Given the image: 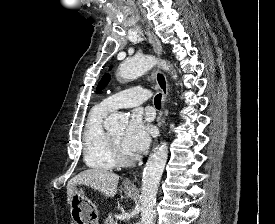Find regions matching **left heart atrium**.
<instances>
[{
	"label": "left heart atrium",
	"mask_w": 275,
	"mask_h": 224,
	"mask_svg": "<svg viewBox=\"0 0 275 224\" xmlns=\"http://www.w3.org/2000/svg\"><path fill=\"white\" fill-rule=\"evenodd\" d=\"M151 128L141 116L135 114L131 117L124 131L122 144L131 154L143 152L150 143Z\"/></svg>",
	"instance_id": "1"
}]
</instances>
